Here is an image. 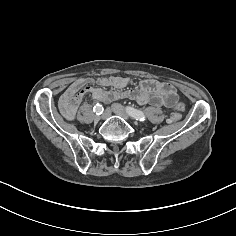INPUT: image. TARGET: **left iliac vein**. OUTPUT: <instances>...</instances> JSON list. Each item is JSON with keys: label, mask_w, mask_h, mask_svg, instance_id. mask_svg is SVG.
<instances>
[{"label": "left iliac vein", "mask_w": 236, "mask_h": 236, "mask_svg": "<svg viewBox=\"0 0 236 236\" xmlns=\"http://www.w3.org/2000/svg\"><path fill=\"white\" fill-rule=\"evenodd\" d=\"M112 112L125 120H129V114L127 113L126 109L118 103H114L111 106Z\"/></svg>", "instance_id": "1"}]
</instances>
